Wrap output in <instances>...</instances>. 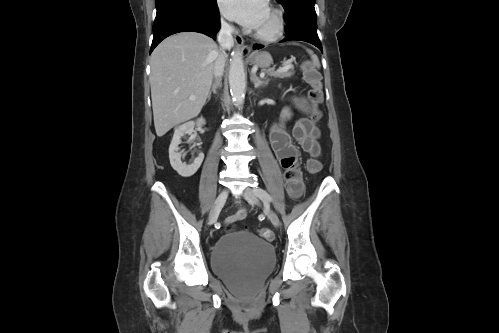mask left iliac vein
<instances>
[{
    "mask_svg": "<svg viewBox=\"0 0 499 333\" xmlns=\"http://www.w3.org/2000/svg\"><path fill=\"white\" fill-rule=\"evenodd\" d=\"M242 196L244 197V199H246L250 204L252 205H260V202H259V199L257 197V195L255 194L254 190L251 189V188H246L243 192H242ZM264 212L265 214L267 215V217L269 218V220L272 222V224L275 226V227H278L280 225V220H279V217L278 215L276 214L275 211H273L269 206H265L264 207Z\"/></svg>",
    "mask_w": 499,
    "mask_h": 333,
    "instance_id": "left-iliac-vein-1",
    "label": "left iliac vein"
}]
</instances>
